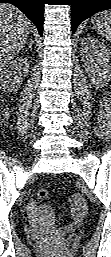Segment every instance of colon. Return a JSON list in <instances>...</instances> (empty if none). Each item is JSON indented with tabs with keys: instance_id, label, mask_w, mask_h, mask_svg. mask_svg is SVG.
Wrapping results in <instances>:
<instances>
[{
	"instance_id": "1",
	"label": "colon",
	"mask_w": 111,
	"mask_h": 257,
	"mask_svg": "<svg viewBox=\"0 0 111 257\" xmlns=\"http://www.w3.org/2000/svg\"><path fill=\"white\" fill-rule=\"evenodd\" d=\"M38 205L41 211L47 212L51 209V203L49 200V191L45 188L40 189L37 193Z\"/></svg>"
}]
</instances>
